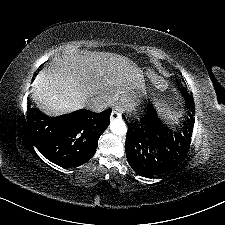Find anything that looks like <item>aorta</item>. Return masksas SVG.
Instances as JSON below:
<instances>
[{"label":"aorta","instance_id":"762f6f07","mask_svg":"<svg viewBox=\"0 0 225 225\" xmlns=\"http://www.w3.org/2000/svg\"><path fill=\"white\" fill-rule=\"evenodd\" d=\"M111 131L116 135H122L126 132V126L121 120H112L110 123Z\"/></svg>","mask_w":225,"mask_h":225}]
</instances>
